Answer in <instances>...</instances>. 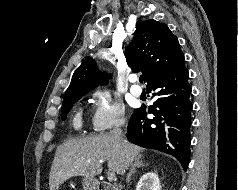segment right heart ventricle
<instances>
[{"label": "right heart ventricle", "instance_id": "1", "mask_svg": "<svg viewBox=\"0 0 238 190\" xmlns=\"http://www.w3.org/2000/svg\"><path fill=\"white\" fill-rule=\"evenodd\" d=\"M82 125V117L80 113H77L73 119V126L75 128H80Z\"/></svg>", "mask_w": 238, "mask_h": 190}]
</instances>
